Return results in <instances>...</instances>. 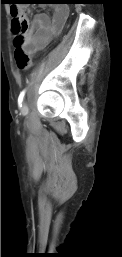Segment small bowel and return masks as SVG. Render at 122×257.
I'll list each match as a JSON object with an SVG mask.
<instances>
[{"instance_id": "small-bowel-1", "label": "small bowel", "mask_w": 122, "mask_h": 257, "mask_svg": "<svg viewBox=\"0 0 122 257\" xmlns=\"http://www.w3.org/2000/svg\"><path fill=\"white\" fill-rule=\"evenodd\" d=\"M69 10L65 6H56L52 18L45 13L37 14L28 23L21 44L28 56H32L44 48L49 41L58 35L67 20Z\"/></svg>"}]
</instances>
